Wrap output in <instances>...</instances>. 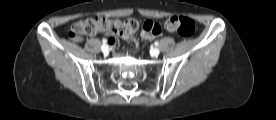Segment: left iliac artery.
<instances>
[{
	"label": "left iliac artery",
	"mask_w": 276,
	"mask_h": 120,
	"mask_svg": "<svg viewBox=\"0 0 276 120\" xmlns=\"http://www.w3.org/2000/svg\"><path fill=\"white\" fill-rule=\"evenodd\" d=\"M154 45H155V46H158V45H159V42H158V41H156V42L154 43Z\"/></svg>",
	"instance_id": "left-iliac-artery-1"
}]
</instances>
